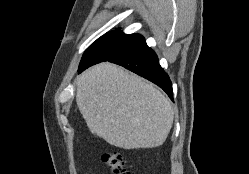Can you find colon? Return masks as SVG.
<instances>
[{"instance_id": "5ec220e1", "label": "colon", "mask_w": 249, "mask_h": 174, "mask_svg": "<svg viewBox=\"0 0 249 174\" xmlns=\"http://www.w3.org/2000/svg\"><path fill=\"white\" fill-rule=\"evenodd\" d=\"M102 160L105 166L114 174H132L126 167V160L124 156L118 152H105L102 155Z\"/></svg>"}]
</instances>
